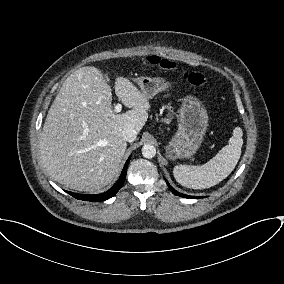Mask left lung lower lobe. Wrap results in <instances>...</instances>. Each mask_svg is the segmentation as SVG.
I'll return each instance as SVG.
<instances>
[{"instance_id":"obj_1","label":"left lung lower lobe","mask_w":284,"mask_h":284,"mask_svg":"<svg viewBox=\"0 0 284 284\" xmlns=\"http://www.w3.org/2000/svg\"><path fill=\"white\" fill-rule=\"evenodd\" d=\"M166 183L168 184L170 190L172 193H174L175 195L177 196H180V197H184V198H202V197H198V196H189V195H185V194H182V193H179L178 191H176L175 189L172 188V186H170V184L168 183V181L165 179Z\"/></svg>"}]
</instances>
